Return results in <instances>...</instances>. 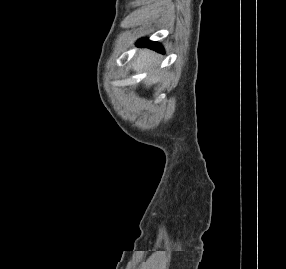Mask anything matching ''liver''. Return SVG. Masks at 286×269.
Returning <instances> with one entry per match:
<instances>
[{
  "instance_id": "6515ba94",
  "label": "liver",
  "mask_w": 286,
  "mask_h": 269,
  "mask_svg": "<svg viewBox=\"0 0 286 269\" xmlns=\"http://www.w3.org/2000/svg\"><path fill=\"white\" fill-rule=\"evenodd\" d=\"M154 61H155V59H154L153 53L150 51L144 50L138 54L136 60L132 64V68L135 71L146 70V69L154 66V65H152V63ZM158 80H159L158 76L156 74H152L145 79V84L147 86H150V85L156 83Z\"/></svg>"
}]
</instances>
